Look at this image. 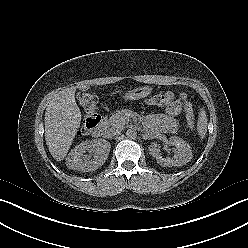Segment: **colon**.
Wrapping results in <instances>:
<instances>
[{"mask_svg":"<svg viewBox=\"0 0 248 248\" xmlns=\"http://www.w3.org/2000/svg\"><path fill=\"white\" fill-rule=\"evenodd\" d=\"M167 93H159L153 96L150 100L154 105H162L168 100ZM186 112V116L191 127L194 126V114L191 104L189 103L185 94H180ZM79 102L85 110V119L79 131V134L86 135L92 131L99 120L101 119L98 114V98L91 92H83L79 95Z\"/></svg>","mask_w":248,"mask_h":248,"instance_id":"obj_1","label":"colon"}]
</instances>
